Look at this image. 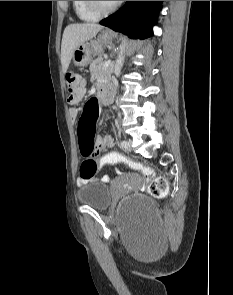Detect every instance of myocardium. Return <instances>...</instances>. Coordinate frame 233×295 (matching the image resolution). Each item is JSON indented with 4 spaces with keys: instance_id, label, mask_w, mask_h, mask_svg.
Segmentation results:
<instances>
[{
    "instance_id": "obj_1",
    "label": "myocardium",
    "mask_w": 233,
    "mask_h": 295,
    "mask_svg": "<svg viewBox=\"0 0 233 295\" xmlns=\"http://www.w3.org/2000/svg\"><path fill=\"white\" fill-rule=\"evenodd\" d=\"M88 9L98 16H104L115 11L120 5L121 1H116L112 6L108 8H103L99 4V1H85Z\"/></svg>"
}]
</instances>
